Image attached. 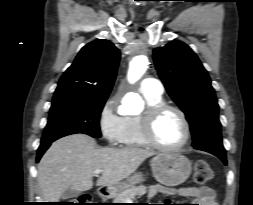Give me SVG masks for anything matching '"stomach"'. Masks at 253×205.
<instances>
[{"label":"stomach","instance_id":"1","mask_svg":"<svg viewBox=\"0 0 253 205\" xmlns=\"http://www.w3.org/2000/svg\"><path fill=\"white\" fill-rule=\"evenodd\" d=\"M151 168L154 178L168 187L182 184L191 174L190 160L180 153H159L151 160ZM143 181L141 174L135 173L119 182L106 187V192L110 197H115L119 193L133 187Z\"/></svg>","mask_w":253,"mask_h":205}]
</instances>
